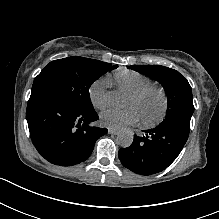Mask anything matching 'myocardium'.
<instances>
[{
  "mask_svg": "<svg viewBox=\"0 0 219 219\" xmlns=\"http://www.w3.org/2000/svg\"><path fill=\"white\" fill-rule=\"evenodd\" d=\"M155 92L158 93L162 99V110L160 115L154 120H146L141 117V123L147 128H155L159 126L167 117L169 109V97L166 90L163 87L156 85H148L142 87L132 93H130L131 98H141L147 93Z\"/></svg>",
  "mask_w": 219,
  "mask_h": 219,
  "instance_id": "myocardium-1",
  "label": "myocardium"
}]
</instances>
